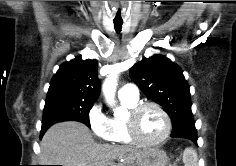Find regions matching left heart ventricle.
Segmentation results:
<instances>
[{
  "mask_svg": "<svg viewBox=\"0 0 236 166\" xmlns=\"http://www.w3.org/2000/svg\"><path fill=\"white\" fill-rule=\"evenodd\" d=\"M137 130L142 140L147 142L156 141L164 133V118L155 108H147L137 119Z\"/></svg>",
  "mask_w": 236,
  "mask_h": 166,
  "instance_id": "left-heart-ventricle-1",
  "label": "left heart ventricle"
}]
</instances>
